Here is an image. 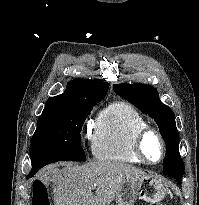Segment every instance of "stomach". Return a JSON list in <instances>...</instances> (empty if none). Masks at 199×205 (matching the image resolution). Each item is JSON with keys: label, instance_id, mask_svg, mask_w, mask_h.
<instances>
[{"label": "stomach", "instance_id": "1", "mask_svg": "<svg viewBox=\"0 0 199 205\" xmlns=\"http://www.w3.org/2000/svg\"><path fill=\"white\" fill-rule=\"evenodd\" d=\"M165 195L166 187L157 178L147 175L131 176L121 185L115 197V205H133L137 199L155 204Z\"/></svg>", "mask_w": 199, "mask_h": 205}]
</instances>
